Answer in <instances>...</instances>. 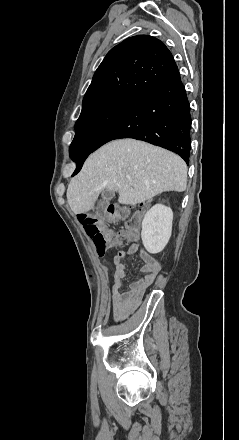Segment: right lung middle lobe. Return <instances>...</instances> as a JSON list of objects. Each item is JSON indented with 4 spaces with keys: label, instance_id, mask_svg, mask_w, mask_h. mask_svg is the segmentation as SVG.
<instances>
[{
    "label": "right lung middle lobe",
    "instance_id": "dd1d6c3e",
    "mask_svg": "<svg viewBox=\"0 0 239 440\" xmlns=\"http://www.w3.org/2000/svg\"><path fill=\"white\" fill-rule=\"evenodd\" d=\"M135 97L116 96L83 109L75 123L72 153L90 151L100 135L111 126Z\"/></svg>",
    "mask_w": 239,
    "mask_h": 440
}]
</instances>
